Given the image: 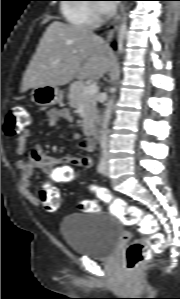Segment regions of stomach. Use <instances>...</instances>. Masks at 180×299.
<instances>
[{
    "instance_id": "stomach-1",
    "label": "stomach",
    "mask_w": 180,
    "mask_h": 299,
    "mask_svg": "<svg viewBox=\"0 0 180 299\" xmlns=\"http://www.w3.org/2000/svg\"><path fill=\"white\" fill-rule=\"evenodd\" d=\"M63 91L54 86H40L31 91L32 101L39 106L47 107L60 103L63 100Z\"/></svg>"
}]
</instances>
